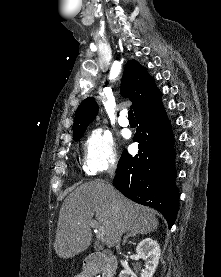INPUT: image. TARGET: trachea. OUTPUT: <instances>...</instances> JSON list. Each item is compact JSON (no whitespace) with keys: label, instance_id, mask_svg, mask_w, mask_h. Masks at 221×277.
I'll use <instances>...</instances> for the list:
<instances>
[{"label":"trachea","instance_id":"trachea-1","mask_svg":"<svg viewBox=\"0 0 221 277\" xmlns=\"http://www.w3.org/2000/svg\"><path fill=\"white\" fill-rule=\"evenodd\" d=\"M128 118H129V119H135V117H134V114H133V111H132V110H129V111H128Z\"/></svg>","mask_w":221,"mask_h":277}]
</instances>
